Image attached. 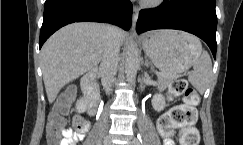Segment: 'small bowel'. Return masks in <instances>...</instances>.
<instances>
[{"mask_svg": "<svg viewBox=\"0 0 243 145\" xmlns=\"http://www.w3.org/2000/svg\"><path fill=\"white\" fill-rule=\"evenodd\" d=\"M80 117L76 116L74 118V122L76 121V119H79ZM82 119V118H80ZM85 121V120H84ZM86 122V121H85ZM87 124V128L83 131H73L71 129H64L62 132V141H61V145H77L80 141H82L85 137V134L88 130V123ZM163 145H175L174 141L168 137H165L163 139Z\"/></svg>", "mask_w": 243, "mask_h": 145, "instance_id": "obj_1", "label": "small bowel"}]
</instances>
